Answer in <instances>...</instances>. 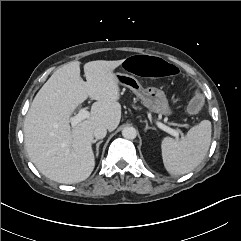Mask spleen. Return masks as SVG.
Wrapping results in <instances>:
<instances>
[{
	"mask_svg": "<svg viewBox=\"0 0 241 241\" xmlns=\"http://www.w3.org/2000/svg\"><path fill=\"white\" fill-rule=\"evenodd\" d=\"M211 132V122L203 120L181 140L163 138L161 151L166 170L172 175H183L196 168L209 150Z\"/></svg>",
	"mask_w": 241,
	"mask_h": 241,
	"instance_id": "obj_1",
	"label": "spleen"
}]
</instances>
